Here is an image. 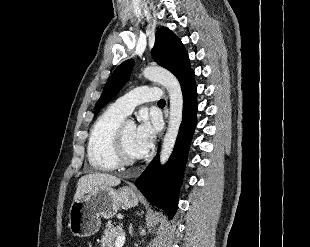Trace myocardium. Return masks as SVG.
<instances>
[{
  "instance_id": "obj_1",
  "label": "myocardium",
  "mask_w": 310,
  "mask_h": 247,
  "mask_svg": "<svg viewBox=\"0 0 310 247\" xmlns=\"http://www.w3.org/2000/svg\"><path fill=\"white\" fill-rule=\"evenodd\" d=\"M124 123L120 125L116 134L115 141V155L119 165L122 166H131L135 164L138 159L136 157H132L127 153L125 141H124Z\"/></svg>"
}]
</instances>
